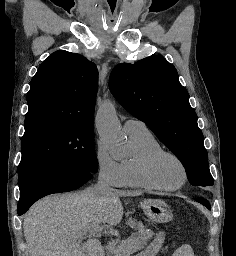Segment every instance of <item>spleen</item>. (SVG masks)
<instances>
[{"label": "spleen", "instance_id": "1", "mask_svg": "<svg viewBox=\"0 0 236 256\" xmlns=\"http://www.w3.org/2000/svg\"><path fill=\"white\" fill-rule=\"evenodd\" d=\"M173 256H194L193 248L188 246V244H185V246H181L179 250H176Z\"/></svg>", "mask_w": 236, "mask_h": 256}]
</instances>
